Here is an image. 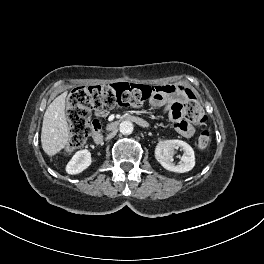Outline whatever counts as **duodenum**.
<instances>
[{
    "label": "duodenum",
    "instance_id": "obj_1",
    "mask_svg": "<svg viewBox=\"0 0 264 264\" xmlns=\"http://www.w3.org/2000/svg\"><path fill=\"white\" fill-rule=\"evenodd\" d=\"M122 121H130L133 123H136L137 125L141 126V127H147L148 126V122L146 120H144L141 117L138 116H134V115H126L122 118ZM120 121H113L111 123L108 124L107 126V131L112 132L114 131L118 125H119ZM104 136L101 132H96L93 135V142L97 145L101 144L103 142Z\"/></svg>",
    "mask_w": 264,
    "mask_h": 264
}]
</instances>
